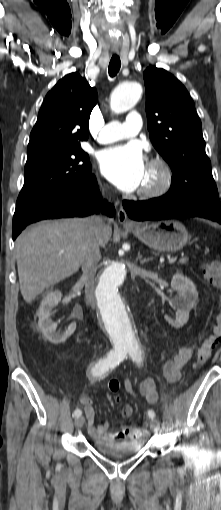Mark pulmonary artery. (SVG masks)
Instances as JSON below:
<instances>
[{"label": "pulmonary artery", "mask_w": 221, "mask_h": 510, "mask_svg": "<svg viewBox=\"0 0 221 510\" xmlns=\"http://www.w3.org/2000/svg\"><path fill=\"white\" fill-rule=\"evenodd\" d=\"M141 129V117L137 112L129 113L127 120L110 122L104 125L100 131L98 140L100 143L109 144L119 140L134 137Z\"/></svg>", "instance_id": "pulmonary-artery-1"}]
</instances>
